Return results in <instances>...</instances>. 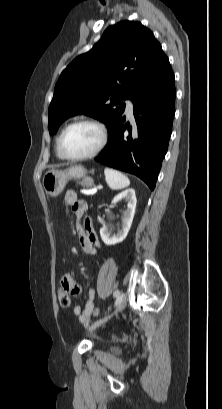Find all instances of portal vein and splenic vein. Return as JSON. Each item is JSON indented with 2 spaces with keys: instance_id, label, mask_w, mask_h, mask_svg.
Returning a JSON list of instances; mask_svg holds the SVG:
<instances>
[{
  "instance_id": "18ae733b",
  "label": "portal vein and splenic vein",
  "mask_w": 222,
  "mask_h": 409,
  "mask_svg": "<svg viewBox=\"0 0 222 409\" xmlns=\"http://www.w3.org/2000/svg\"><path fill=\"white\" fill-rule=\"evenodd\" d=\"M85 195H93L97 192V188H92L90 190H84L82 191Z\"/></svg>"
}]
</instances>
